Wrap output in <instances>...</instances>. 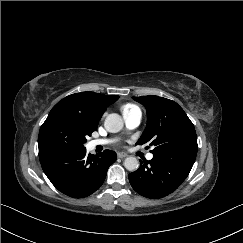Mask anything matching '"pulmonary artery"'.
<instances>
[{
  "label": "pulmonary artery",
  "instance_id": "pulmonary-artery-1",
  "mask_svg": "<svg viewBox=\"0 0 243 243\" xmlns=\"http://www.w3.org/2000/svg\"><path fill=\"white\" fill-rule=\"evenodd\" d=\"M124 122L127 127V129H135L137 128L142 120V111L140 108H134L128 112H125L123 114ZM115 140L114 139H98L93 140L89 143L90 148H95L99 145H109L112 144ZM153 158L152 153L147 154V159L151 160Z\"/></svg>",
  "mask_w": 243,
  "mask_h": 243
}]
</instances>
